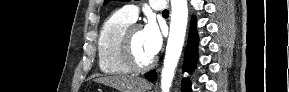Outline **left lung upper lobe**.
<instances>
[{
    "mask_svg": "<svg viewBox=\"0 0 289 92\" xmlns=\"http://www.w3.org/2000/svg\"><path fill=\"white\" fill-rule=\"evenodd\" d=\"M110 0H105V3L104 4H106V3H108ZM119 1H129V0H119Z\"/></svg>",
    "mask_w": 289,
    "mask_h": 92,
    "instance_id": "obj_1",
    "label": "left lung upper lobe"
}]
</instances>
